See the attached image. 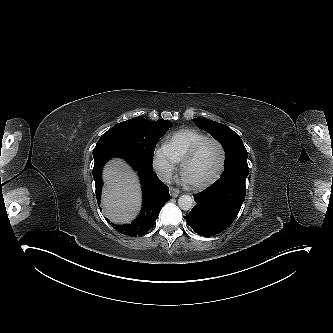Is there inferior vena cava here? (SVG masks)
I'll return each mask as SVG.
<instances>
[{
	"mask_svg": "<svg viewBox=\"0 0 333 333\" xmlns=\"http://www.w3.org/2000/svg\"><path fill=\"white\" fill-rule=\"evenodd\" d=\"M157 175L166 184H170L172 181V171L169 169H158Z\"/></svg>",
	"mask_w": 333,
	"mask_h": 333,
	"instance_id": "obj_1",
	"label": "inferior vena cava"
}]
</instances>
